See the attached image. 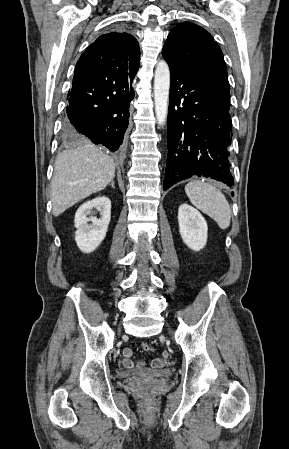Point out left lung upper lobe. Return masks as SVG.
I'll list each match as a JSON object with an SVG mask.
<instances>
[{"mask_svg":"<svg viewBox=\"0 0 289 449\" xmlns=\"http://www.w3.org/2000/svg\"><path fill=\"white\" fill-rule=\"evenodd\" d=\"M162 55L171 65L199 75L230 101L227 69L222 51L205 29L192 23L177 25L169 33Z\"/></svg>","mask_w":289,"mask_h":449,"instance_id":"5c2ea615","label":"left lung upper lobe"}]
</instances>
